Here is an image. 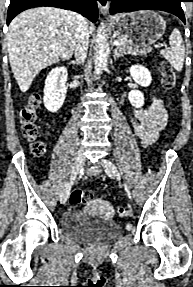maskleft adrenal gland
<instances>
[{
    "label": "left adrenal gland",
    "mask_w": 193,
    "mask_h": 287,
    "mask_svg": "<svg viewBox=\"0 0 193 287\" xmlns=\"http://www.w3.org/2000/svg\"><path fill=\"white\" fill-rule=\"evenodd\" d=\"M113 59H114V61H116V59L117 58H119V57H122V54L121 53H118V51H117V48H115L114 50H113Z\"/></svg>",
    "instance_id": "1"
}]
</instances>
